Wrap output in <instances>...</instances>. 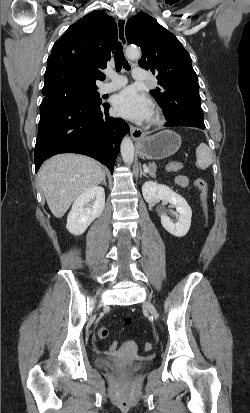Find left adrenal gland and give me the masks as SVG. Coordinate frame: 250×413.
Segmentation results:
<instances>
[{
	"label": "left adrenal gland",
	"mask_w": 250,
	"mask_h": 413,
	"mask_svg": "<svg viewBox=\"0 0 250 413\" xmlns=\"http://www.w3.org/2000/svg\"><path fill=\"white\" fill-rule=\"evenodd\" d=\"M145 167H146V165L144 164V165H143V168H145ZM142 175L145 176V177H147V174H146L145 172H143L142 169L140 168V177H141Z\"/></svg>",
	"instance_id": "obj_1"
}]
</instances>
